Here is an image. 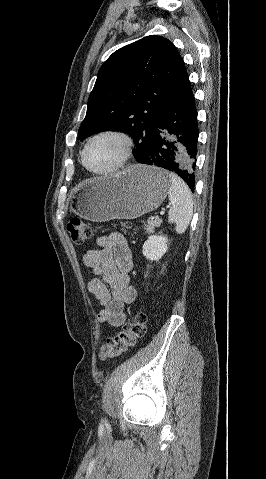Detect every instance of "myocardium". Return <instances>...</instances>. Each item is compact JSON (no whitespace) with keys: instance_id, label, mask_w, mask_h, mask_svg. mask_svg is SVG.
Returning a JSON list of instances; mask_svg holds the SVG:
<instances>
[{"instance_id":"myocardium-1","label":"myocardium","mask_w":266,"mask_h":479,"mask_svg":"<svg viewBox=\"0 0 266 479\" xmlns=\"http://www.w3.org/2000/svg\"><path fill=\"white\" fill-rule=\"evenodd\" d=\"M105 137L116 138L117 140H119L121 142V144H122L121 154H120V157H119L118 161L116 162V164L114 166H112L111 168H109L107 170H102V171L101 170H95L92 167H90L88 162H87V152H88V149L90 148V146L96 140L101 139V138H105ZM132 147H133V140H132V138L129 134H127L123 131H120V130H115V129L104 130V131L96 133L95 135H93L87 141V143L85 144V146L83 148V151H82V163L85 166V168L93 174L109 175V174H112L114 172H117L118 170H120L124 166V164L126 163V161L128 160V158H129V156L132 152Z\"/></svg>"}]
</instances>
